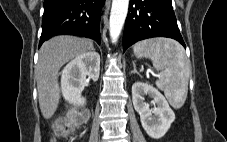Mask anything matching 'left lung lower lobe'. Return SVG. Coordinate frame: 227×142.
<instances>
[{"label": "left lung lower lobe", "mask_w": 227, "mask_h": 142, "mask_svg": "<svg viewBox=\"0 0 227 142\" xmlns=\"http://www.w3.org/2000/svg\"><path fill=\"white\" fill-rule=\"evenodd\" d=\"M152 37L173 38L186 48L171 0H130L123 33V52L137 41Z\"/></svg>", "instance_id": "obj_1"}]
</instances>
